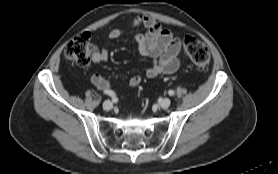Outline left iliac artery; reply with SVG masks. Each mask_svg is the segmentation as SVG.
I'll return each mask as SVG.
<instances>
[{
  "mask_svg": "<svg viewBox=\"0 0 278 174\" xmlns=\"http://www.w3.org/2000/svg\"><path fill=\"white\" fill-rule=\"evenodd\" d=\"M168 94H169L170 96H173V95L175 94V92H174L173 90H169V91H168Z\"/></svg>",
  "mask_w": 278,
  "mask_h": 174,
  "instance_id": "1",
  "label": "left iliac artery"
}]
</instances>
